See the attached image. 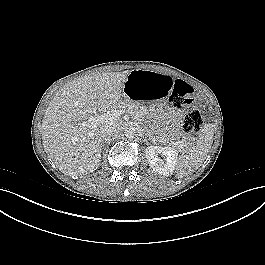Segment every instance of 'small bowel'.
I'll return each mask as SVG.
<instances>
[{
  "instance_id": "1",
  "label": "small bowel",
  "mask_w": 265,
  "mask_h": 265,
  "mask_svg": "<svg viewBox=\"0 0 265 265\" xmlns=\"http://www.w3.org/2000/svg\"><path fill=\"white\" fill-rule=\"evenodd\" d=\"M184 82H185V81H184ZM176 114H177V115H180V111H177Z\"/></svg>"
}]
</instances>
